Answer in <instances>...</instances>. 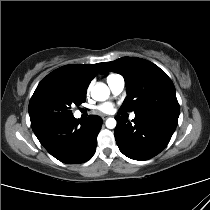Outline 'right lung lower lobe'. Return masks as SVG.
I'll return each mask as SVG.
<instances>
[{
	"mask_svg": "<svg viewBox=\"0 0 210 210\" xmlns=\"http://www.w3.org/2000/svg\"><path fill=\"white\" fill-rule=\"evenodd\" d=\"M101 126L99 116L90 115L82 120L70 115L32 129L52 156L63 163L76 164L86 162L94 155Z\"/></svg>",
	"mask_w": 210,
	"mask_h": 210,
	"instance_id": "98d812e1",
	"label": "right lung lower lobe"
}]
</instances>
